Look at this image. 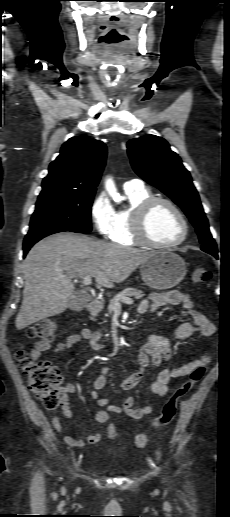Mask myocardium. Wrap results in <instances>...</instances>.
Instances as JSON below:
<instances>
[{
  "instance_id": "1",
  "label": "myocardium",
  "mask_w": 230,
  "mask_h": 517,
  "mask_svg": "<svg viewBox=\"0 0 230 517\" xmlns=\"http://www.w3.org/2000/svg\"><path fill=\"white\" fill-rule=\"evenodd\" d=\"M165 204L169 206L180 218L183 225V233L179 239L169 243H160L153 240L148 232L147 221L148 217L152 211V209L157 204ZM133 234L136 241L142 245L153 247V248H161V249H169L174 248L182 244L189 235V222L184 214V212L180 209V207L165 197H157L152 196L146 200H144L134 211L133 215Z\"/></svg>"
}]
</instances>
